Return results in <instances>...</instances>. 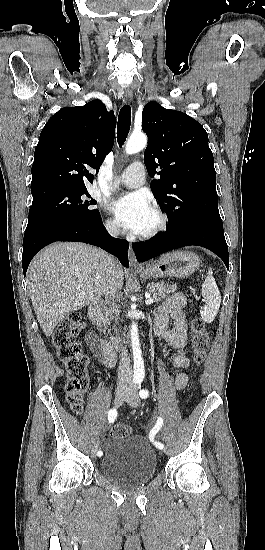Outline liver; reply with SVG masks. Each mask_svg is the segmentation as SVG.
Instances as JSON below:
<instances>
[{"label":"liver","instance_id":"liver-1","mask_svg":"<svg viewBox=\"0 0 265 550\" xmlns=\"http://www.w3.org/2000/svg\"><path fill=\"white\" fill-rule=\"evenodd\" d=\"M107 257L104 251L78 242L53 243L34 257L27 285L46 336L66 315L100 300L107 282ZM115 266L117 289H121L124 272L118 261Z\"/></svg>","mask_w":265,"mask_h":550}]
</instances>
